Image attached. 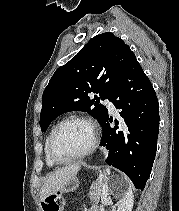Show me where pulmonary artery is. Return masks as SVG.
Wrapping results in <instances>:
<instances>
[{
  "instance_id": "obj_1",
  "label": "pulmonary artery",
  "mask_w": 179,
  "mask_h": 211,
  "mask_svg": "<svg viewBox=\"0 0 179 211\" xmlns=\"http://www.w3.org/2000/svg\"><path fill=\"white\" fill-rule=\"evenodd\" d=\"M105 103L108 105L110 111L116 112V108H115V106H114V104H113V102L111 100L106 99Z\"/></svg>"
}]
</instances>
